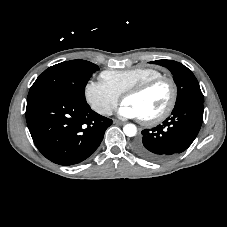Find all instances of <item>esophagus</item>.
Segmentation results:
<instances>
[{"label": "esophagus", "instance_id": "esophagus-1", "mask_svg": "<svg viewBox=\"0 0 227 227\" xmlns=\"http://www.w3.org/2000/svg\"><path fill=\"white\" fill-rule=\"evenodd\" d=\"M113 123L117 124V125H124L125 124V122L119 121V120H113Z\"/></svg>", "mask_w": 227, "mask_h": 227}]
</instances>
